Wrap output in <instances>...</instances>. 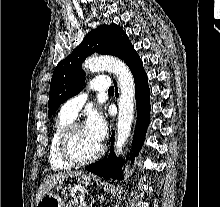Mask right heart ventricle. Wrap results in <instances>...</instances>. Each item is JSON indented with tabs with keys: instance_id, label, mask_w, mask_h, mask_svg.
Here are the masks:
<instances>
[{
	"instance_id": "right-heart-ventricle-1",
	"label": "right heart ventricle",
	"mask_w": 220,
	"mask_h": 207,
	"mask_svg": "<svg viewBox=\"0 0 220 207\" xmlns=\"http://www.w3.org/2000/svg\"><path fill=\"white\" fill-rule=\"evenodd\" d=\"M72 121L73 119L67 116H64L60 113L55 122L54 129H53L52 136H51L50 143H49V148H48L49 164L51 168L54 170H66L72 166L61 158L60 153H59V148H58L59 138L63 130L70 123H72Z\"/></svg>"
}]
</instances>
